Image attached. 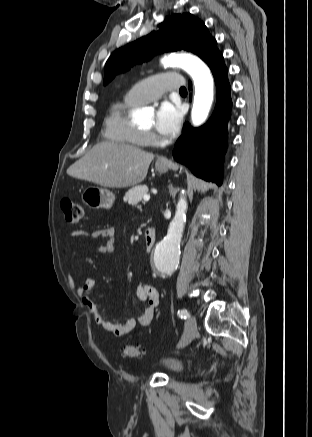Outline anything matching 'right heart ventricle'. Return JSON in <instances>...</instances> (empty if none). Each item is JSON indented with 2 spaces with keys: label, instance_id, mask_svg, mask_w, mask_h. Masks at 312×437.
<instances>
[{
  "label": "right heart ventricle",
  "instance_id": "e07e8e85",
  "mask_svg": "<svg viewBox=\"0 0 312 437\" xmlns=\"http://www.w3.org/2000/svg\"><path fill=\"white\" fill-rule=\"evenodd\" d=\"M139 104L125 99L111 106L105 122V137L121 145H130L135 147L144 146L147 143V137L143 131L138 129L130 120L129 109Z\"/></svg>",
  "mask_w": 312,
  "mask_h": 437
}]
</instances>
